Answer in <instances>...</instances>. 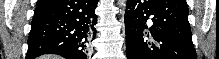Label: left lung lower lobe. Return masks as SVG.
Segmentation results:
<instances>
[{
    "label": "left lung lower lobe",
    "mask_w": 219,
    "mask_h": 59,
    "mask_svg": "<svg viewBox=\"0 0 219 59\" xmlns=\"http://www.w3.org/2000/svg\"><path fill=\"white\" fill-rule=\"evenodd\" d=\"M186 0H127V59H197Z\"/></svg>",
    "instance_id": "left-lung-lower-lobe-1"
}]
</instances>
